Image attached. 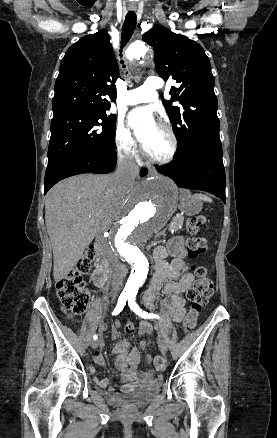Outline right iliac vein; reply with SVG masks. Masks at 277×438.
<instances>
[{
    "mask_svg": "<svg viewBox=\"0 0 277 438\" xmlns=\"http://www.w3.org/2000/svg\"><path fill=\"white\" fill-rule=\"evenodd\" d=\"M98 344H99V341H98V340H93V341L91 342V347H92L93 349H95V348L98 347Z\"/></svg>",
    "mask_w": 277,
    "mask_h": 438,
    "instance_id": "63e3f726",
    "label": "right iliac vein"
}]
</instances>
